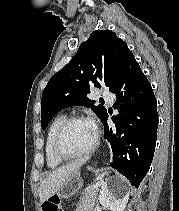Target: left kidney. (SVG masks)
Returning <instances> with one entry per match:
<instances>
[{
  "instance_id": "1",
  "label": "left kidney",
  "mask_w": 179,
  "mask_h": 211,
  "mask_svg": "<svg viewBox=\"0 0 179 211\" xmlns=\"http://www.w3.org/2000/svg\"><path fill=\"white\" fill-rule=\"evenodd\" d=\"M129 200V192L120 183L104 182L99 195V201L104 208L111 211H124Z\"/></svg>"
}]
</instances>
